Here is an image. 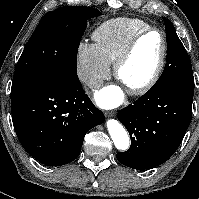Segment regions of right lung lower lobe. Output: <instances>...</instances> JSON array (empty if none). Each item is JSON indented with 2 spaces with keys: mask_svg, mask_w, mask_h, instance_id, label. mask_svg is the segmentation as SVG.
Wrapping results in <instances>:
<instances>
[{
  "mask_svg": "<svg viewBox=\"0 0 199 199\" xmlns=\"http://www.w3.org/2000/svg\"><path fill=\"white\" fill-rule=\"evenodd\" d=\"M12 121L23 148L48 166L75 160L87 131L104 114L82 89L59 78L43 81L11 99Z\"/></svg>",
  "mask_w": 199,
  "mask_h": 199,
  "instance_id": "98d812e1",
  "label": "right lung lower lobe"
}]
</instances>
